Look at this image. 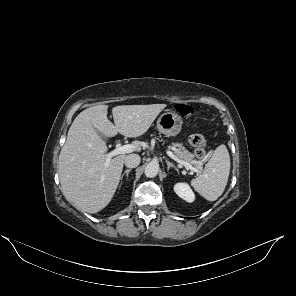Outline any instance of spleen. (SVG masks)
<instances>
[{"label":"spleen","instance_id":"spleen-1","mask_svg":"<svg viewBox=\"0 0 296 296\" xmlns=\"http://www.w3.org/2000/svg\"><path fill=\"white\" fill-rule=\"evenodd\" d=\"M230 173V156L225 145L218 146L203 172L191 180V185L208 201H215L222 195Z\"/></svg>","mask_w":296,"mask_h":296}]
</instances>
